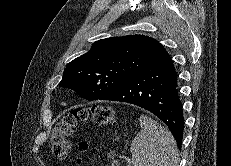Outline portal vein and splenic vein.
<instances>
[{"mask_svg": "<svg viewBox=\"0 0 231 166\" xmlns=\"http://www.w3.org/2000/svg\"><path fill=\"white\" fill-rule=\"evenodd\" d=\"M127 166H130V162H128Z\"/></svg>", "mask_w": 231, "mask_h": 166, "instance_id": "portal-vein-and-splenic-vein-1", "label": "portal vein and splenic vein"}]
</instances>
